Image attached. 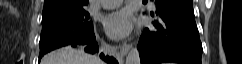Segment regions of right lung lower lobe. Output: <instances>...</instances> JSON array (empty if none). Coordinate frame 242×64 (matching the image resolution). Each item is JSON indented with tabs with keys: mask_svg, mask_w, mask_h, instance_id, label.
Returning <instances> with one entry per match:
<instances>
[{
	"mask_svg": "<svg viewBox=\"0 0 242 64\" xmlns=\"http://www.w3.org/2000/svg\"><path fill=\"white\" fill-rule=\"evenodd\" d=\"M72 47H84V50L88 53L94 54L98 51V45L96 43L95 35L92 38L83 40L80 42H73L69 44ZM100 57L107 62L108 64H118V62L111 56L104 55L103 53L100 54ZM41 59V57H39Z\"/></svg>",
	"mask_w": 242,
	"mask_h": 64,
	"instance_id": "obj_1",
	"label": "right lung lower lobe"
}]
</instances>
